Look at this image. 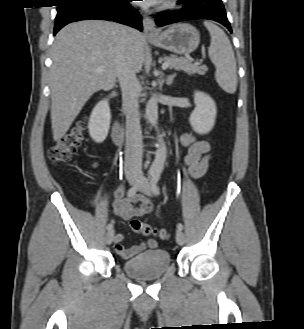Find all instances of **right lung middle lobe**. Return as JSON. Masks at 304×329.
Segmentation results:
<instances>
[{"label":"right lung middle lobe","instance_id":"obj_1","mask_svg":"<svg viewBox=\"0 0 304 329\" xmlns=\"http://www.w3.org/2000/svg\"><path fill=\"white\" fill-rule=\"evenodd\" d=\"M71 1H76V0H60V3H66V2H71Z\"/></svg>","mask_w":304,"mask_h":329}]
</instances>
